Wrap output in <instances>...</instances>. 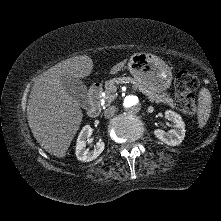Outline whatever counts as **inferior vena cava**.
<instances>
[{"mask_svg":"<svg viewBox=\"0 0 221 221\" xmlns=\"http://www.w3.org/2000/svg\"><path fill=\"white\" fill-rule=\"evenodd\" d=\"M115 112H116V107L110 106L104 111V116L105 118L109 119L114 116Z\"/></svg>","mask_w":221,"mask_h":221,"instance_id":"inferior-vena-cava-1","label":"inferior vena cava"}]
</instances>
